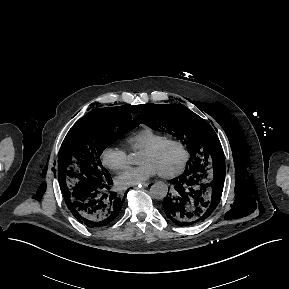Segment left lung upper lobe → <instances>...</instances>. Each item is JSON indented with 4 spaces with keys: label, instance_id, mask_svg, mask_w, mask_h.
<instances>
[{
    "label": "left lung upper lobe",
    "instance_id": "obj_1",
    "mask_svg": "<svg viewBox=\"0 0 289 289\" xmlns=\"http://www.w3.org/2000/svg\"><path fill=\"white\" fill-rule=\"evenodd\" d=\"M140 123L184 140L191 154L187 170H213L224 162L219 139L213 128L182 104H144L139 106Z\"/></svg>",
    "mask_w": 289,
    "mask_h": 289
}]
</instances>
